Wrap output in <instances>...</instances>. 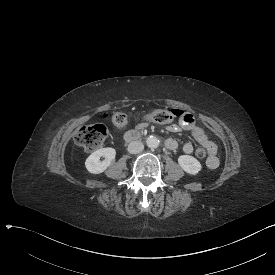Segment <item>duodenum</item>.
<instances>
[{
	"label": "duodenum",
	"mask_w": 275,
	"mask_h": 275,
	"mask_svg": "<svg viewBox=\"0 0 275 275\" xmlns=\"http://www.w3.org/2000/svg\"><path fill=\"white\" fill-rule=\"evenodd\" d=\"M142 134H143V132L140 130H132V131L127 132L124 135V140H125V142H132V141L139 139L142 136Z\"/></svg>",
	"instance_id": "410a0bca"
}]
</instances>
